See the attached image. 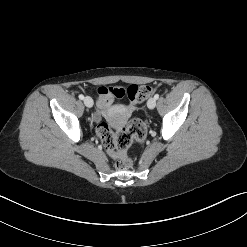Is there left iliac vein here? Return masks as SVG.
<instances>
[{
	"label": "left iliac vein",
	"instance_id": "obj_1",
	"mask_svg": "<svg viewBox=\"0 0 247 247\" xmlns=\"http://www.w3.org/2000/svg\"><path fill=\"white\" fill-rule=\"evenodd\" d=\"M147 106L149 109H154L155 106H156V99L155 98H150L148 101H147Z\"/></svg>",
	"mask_w": 247,
	"mask_h": 247
}]
</instances>
